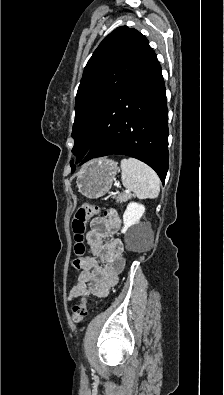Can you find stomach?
I'll use <instances>...</instances> for the list:
<instances>
[{
  "label": "stomach",
  "instance_id": "stomach-1",
  "mask_svg": "<svg viewBox=\"0 0 224 395\" xmlns=\"http://www.w3.org/2000/svg\"><path fill=\"white\" fill-rule=\"evenodd\" d=\"M117 171V163L113 160L90 161L78 173L76 186L83 196L90 199L99 198L110 190Z\"/></svg>",
  "mask_w": 224,
  "mask_h": 395
}]
</instances>
